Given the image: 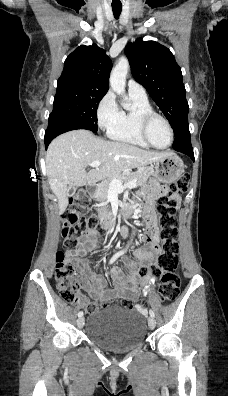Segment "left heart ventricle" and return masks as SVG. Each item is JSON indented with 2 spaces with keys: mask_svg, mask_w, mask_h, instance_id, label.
<instances>
[{
  "mask_svg": "<svg viewBox=\"0 0 228 396\" xmlns=\"http://www.w3.org/2000/svg\"><path fill=\"white\" fill-rule=\"evenodd\" d=\"M149 138L158 147H166L170 142V132L166 124L155 118L149 125Z\"/></svg>",
  "mask_w": 228,
  "mask_h": 396,
  "instance_id": "b2bd125f",
  "label": "left heart ventricle"
}]
</instances>
